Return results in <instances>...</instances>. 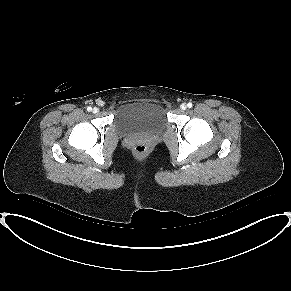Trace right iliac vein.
<instances>
[{"label": "right iliac vein", "mask_w": 291, "mask_h": 291, "mask_svg": "<svg viewBox=\"0 0 291 291\" xmlns=\"http://www.w3.org/2000/svg\"><path fill=\"white\" fill-rule=\"evenodd\" d=\"M98 112H99V109L95 107V108L93 109V113H98Z\"/></svg>", "instance_id": "obj_1"}]
</instances>
